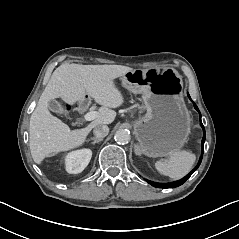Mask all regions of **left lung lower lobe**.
Here are the masks:
<instances>
[{"instance_id": "0a47b994", "label": "left lung lower lobe", "mask_w": 239, "mask_h": 239, "mask_svg": "<svg viewBox=\"0 0 239 239\" xmlns=\"http://www.w3.org/2000/svg\"><path fill=\"white\" fill-rule=\"evenodd\" d=\"M188 97L190 98L189 94H188ZM193 104H194L195 109L199 112L200 125L203 128L202 155L200 157V161H199L198 165L195 167V169L190 174H188L186 177H184L183 179H181L179 181L172 182V183H155V182H151V181L147 180V182L154 187H157V188H175V187H178V186L182 185L197 170V168L199 167V165L201 163L202 156H203V151H204L205 129H204V126H203L202 121H201V113H200L198 107L196 106V104L195 103H193Z\"/></svg>"}]
</instances>
